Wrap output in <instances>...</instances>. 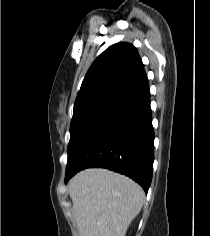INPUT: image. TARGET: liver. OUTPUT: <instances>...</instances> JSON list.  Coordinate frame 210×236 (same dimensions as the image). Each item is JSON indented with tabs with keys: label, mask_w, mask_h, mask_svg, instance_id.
I'll return each mask as SVG.
<instances>
[{
	"label": "liver",
	"mask_w": 210,
	"mask_h": 236,
	"mask_svg": "<svg viewBox=\"0 0 210 236\" xmlns=\"http://www.w3.org/2000/svg\"><path fill=\"white\" fill-rule=\"evenodd\" d=\"M69 195L79 236H125L145 198L133 180L102 168L75 175Z\"/></svg>",
	"instance_id": "obj_1"
}]
</instances>
